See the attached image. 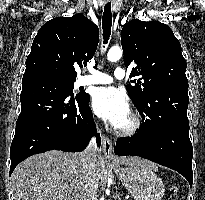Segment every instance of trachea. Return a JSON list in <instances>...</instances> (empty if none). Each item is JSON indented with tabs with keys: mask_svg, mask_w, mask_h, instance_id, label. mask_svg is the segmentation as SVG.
<instances>
[{
	"mask_svg": "<svg viewBox=\"0 0 205 200\" xmlns=\"http://www.w3.org/2000/svg\"><path fill=\"white\" fill-rule=\"evenodd\" d=\"M112 26V12L111 3H107L104 7L103 17H102V28H103V43L107 44Z\"/></svg>",
	"mask_w": 205,
	"mask_h": 200,
	"instance_id": "trachea-1",
	"label": "trachea"
}]
</instances>
